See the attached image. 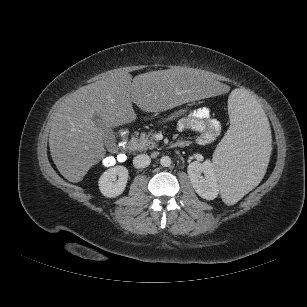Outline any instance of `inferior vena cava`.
<instances>
[{"label": "inferior vena cava", "instance_id": "inferior-vena-cava-1", "mask_svg": "<svg viewBox=\"0 0 307 307\" xmlns=\"http://www.w3.org/2000/svg\"><path fill=\"white\" fill-rule=\"evenodd\" d=\"M151 158L147 154H139L134 157L133 165L135 168H145L150 165Z\"/></svg>", "mask_w": 307, "mask_h": 307}]
</instances>
